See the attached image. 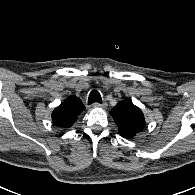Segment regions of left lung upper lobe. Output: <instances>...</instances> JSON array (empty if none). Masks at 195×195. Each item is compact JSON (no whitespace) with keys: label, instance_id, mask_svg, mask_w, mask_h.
<instances>
[{"label":"left lung upper lobe","instance_id":"left-lung-upper-lobe-1","mask_svg":"<svg viewBox=\"0 0 195 195\" xmlns=\"http://www.w3.org/2000/svg\"><path fill=\"white\" fill-rule=\"evenodd\" d=\"M119 133L126 139H132L145 127V119L142 111L129 100L120 101L110 112Z\"/></svg>","mask_w":195,"mask_h":195}]
</instances>
